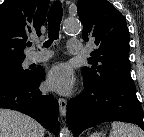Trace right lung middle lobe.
I'll return each mask as SVG.
<instances>
[{
  "instance_id": "obj_1",
  "label": "right lung middle lobe",
  "mask_w": 144,
  "mask_h": 137,
  "mask_svg": "<svg viewBox=\"0 0 144 137\" xmlns=\"http://www.w3.org/2000/svg\"><path fill=\"white\" fill-rule=\"evenodd\" d=\"M23 61H19L13 65L0 69V81L4 80H25L31 77L34 70H24L22 68Z\"/></svg>"
}]
</instances>
